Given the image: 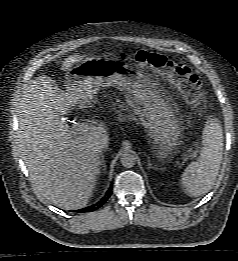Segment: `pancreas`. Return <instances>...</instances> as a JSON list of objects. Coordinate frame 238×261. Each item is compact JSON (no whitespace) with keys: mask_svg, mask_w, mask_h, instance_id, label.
I'll list each match as a JSON object with an SVG mask.
<instances>
[{"mask_svg":"<svg viewBox=\"0 0 238 261\" xmlns=\"http://www.w3.org/2000/svg\"><path fill=\"white\" fill-rule=\"evenodd\" d=\"M126 118H128V119H136L135 117H133V115L126 116V115H122L121 113H119V120L120 121H124V120H126Z\"/></svg>","mask_w":238,"mask_h":261,"instance_id":"pancreas-1","label":"pancreas"}]
</instances>
